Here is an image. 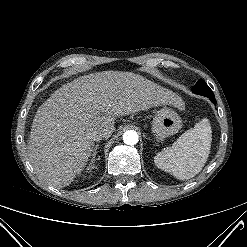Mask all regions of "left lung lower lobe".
Returning <instances> with one entry per match:
<instances>
[{
	"instance_id": "0a47b994",
	"label": "left lung lower lobe",
	"mask_w": 247,
	"mask_h": 247,
	"mask_svg": "<svg viewBox=\"0 0 247 247\" xmlns=\"http://www.w3.org/2000/svg\"><path fill=\"white\" fill-rule=\"evenodd\" d=\"M210 98V100L213 102V103H216V99H215V97L213 96V97H209Z\"/></svg>"
}]
</instances>
